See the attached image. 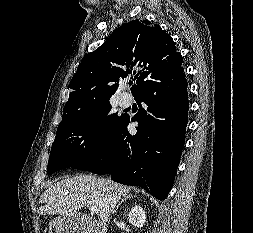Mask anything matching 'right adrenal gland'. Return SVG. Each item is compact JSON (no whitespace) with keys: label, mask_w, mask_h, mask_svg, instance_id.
Segmentation results:
<instances>
[{"label":"right adrenal gland","mask_w":253,"mask_h":233,"mask_svg":"<svg viewBox=\"0 0 253 233\" xmlns=\"http://www.w3.org/2000/svg\"><path fill=\"white\" fill-rule=\"evenodd\" d=\"M129 198H133V196L131 195V196H129ZM124 201H126V200H121V201L116 205L115 209L113 210V213H115V212L117 211L118 207H119Z\"/></svg>","instance_id":"2a0ac1e0"}]
</instances>
